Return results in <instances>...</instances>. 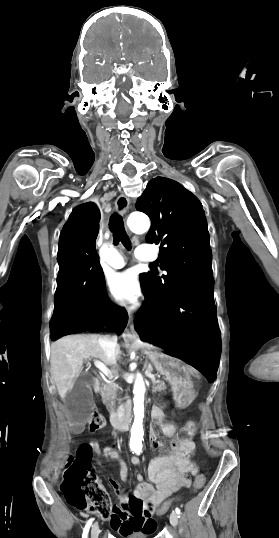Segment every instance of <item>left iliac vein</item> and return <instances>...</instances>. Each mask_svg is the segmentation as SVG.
Instances as JSON below:
<instances>
[{
    "label": "left iliac vein",
    "instance_id": "1",
    "mask_svg": "<svg viewBox=\"0 0 279 538\" xmlns=\"http://www.w3.org/2000/svg\"><path fill=\"white\" fill-rule=\"evenodd\" d=\"M170 523L173 527H177L178 525V515L174 511L170 514Z\"/></svg>",
    "mask_w": 279,
    "mask_h": 538
}]
</instances>
